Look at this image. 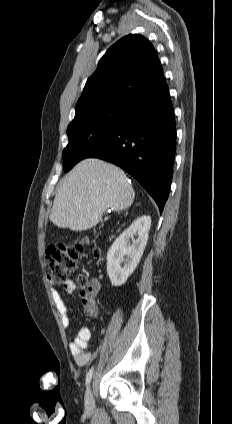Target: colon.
<instances>
[{
  "instance_id": "obj_1",
  "label": "colon",
  "mask_w": 232,
  "mask_h": 424,
  "mask_svg": "<svg viewBox=\"0 0 232 424\" xmlns=\"http://www.w3.org/2000/svg\"><path fill=\"white\" fill-rule=\"evenodd\" d=\"M86 240H79L73 245L57 244L47 248L45 252V266L48 270V280L52 284L64 283L68 276L76 269L81 255L85 251ZM83 285V306L87 314H95V306L91 299L92 283L85 275L79 277Z\"/></svg>"
}]
</instances>
